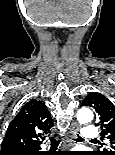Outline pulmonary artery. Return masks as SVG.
Here are the masks:
<instances>
[{
    "mask_svg": "<svg viewBox=\"0 0 115 155\" xmlns=\"http://www.w3.org/2000/svg\"><path fill=\"white\" fill-rule=\"evenodd\" d=\"M82 137L87 140H94L98 137L99 131L95 127L87 126L82 129Z\"/></svg>",
    "mask_w": 115,
    "mask_h": 155,
    "instance_id": "1",
    "label": "pulmonary artery"
}]
</instances>
